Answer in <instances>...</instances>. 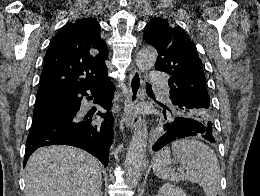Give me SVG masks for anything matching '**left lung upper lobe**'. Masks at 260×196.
<instances>
[{"label": "left lung upper lobe", "instance_id": "1", "mask_svg": "<svg viewBox=\"0 0 260 196\" xmlns=\"http://www.w3.org/2000/svg\"><path fill=\"white\" fill-rule=\"evenodd\" d=\"M143 40L158 52L155 69L170 76L172 106H163L164 121L156 129L155 137H161L165 126L178 118L213 125L214 114L202 62L185 32L179 26L158 17L151 19L145 26Z\"/></svg>", "mask_w": 260, "mask_h": 196}]
</instances>
